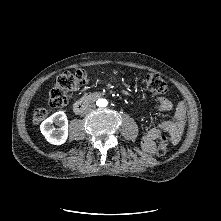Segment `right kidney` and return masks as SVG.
I'll list each match as a JSON object with an SVG mask.
<instances>
[{
	"label": "right kidney",
	"instance_id": "right-kidney-1",
	"mask_svg": "<svg viewBox=\"0 0 221 221\" xmlns=\"http://www.w3.org/2000/svg\"><path fill=\"white\" fill-rule=\"evenodd\" d=\"M58 126L59 128H55ZM41 133L53 145H61L68 138V120L63 111H58L44 120L40 125Z\"/></svg>",
	"mask_w": 221,
	"mask_h": 221
}]
</instances>
